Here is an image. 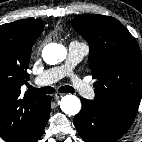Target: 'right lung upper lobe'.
I'll list each match as a JSON object with an SVG mask.
<instances>
[{"label": "right lung upper lobe", "instance_id": "cb5924a9", "mask_svg": "<svg viewBox=\"0 0 142 142\" xmlns=\"http://www.w3.org/2000/svg\"><path fill=\"white\" fill-rule=\"evenodd\" d=\"M44 29L41 19L18 20L0 26V136L19 142L41 116L46 96L21 93L34 42Z\"/></svg>", "mask_w": 142, "mask_h": 142}]
</instances>
